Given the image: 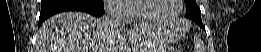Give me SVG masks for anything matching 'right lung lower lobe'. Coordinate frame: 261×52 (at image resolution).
Segmentation results:
<instances>
[{
  "label": "right lung lower lobe",
  "mask_w": 261,
  "mask_h": 52,
  "mask_svg": "<svg viewBox=\"0 0 261 52\" xmlns=\"http://www.w3.org/2000/svg\"><path fill=\"white\" fill-rule=\"evenodd\" d=\"M83 11L94 16H102L104 14L103 3L98 1L84 0H42L41 12L39 17V26L48 17L65 11Z\"/></svg>",
  "instance_id": "1"
}]
</instances>
